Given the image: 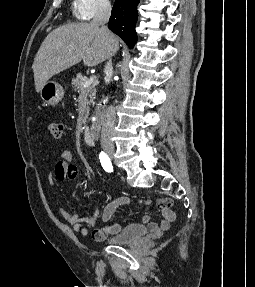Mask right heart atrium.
<instances>
[{
    "mask_svg": "<svg viewBox=\"0 0 255 287\" xmlns=\"http://www.w3.org/2000/svg\"><path fill=\"white\" fill-rule=\"evenodd\" d=\"M60 48H78V47H60Z\"/></svg>",
    "mask_w": 255,
    "mask_h": 287,
    "instance_id": "obj_1",
    "label": "right heart atrium"
}]
</instances>
